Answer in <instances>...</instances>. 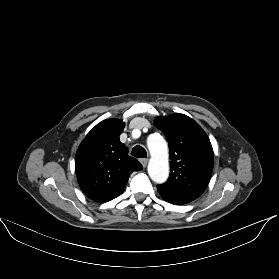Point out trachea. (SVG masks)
I'll use <instances>...</instances> for the list:
<instances>
[{"mask_svg":"<svg viewBox=\"0 0 279 279\" xmlns=\"http://www.w3.org/2000/svg\"><path fill=\"white\" fill-rule=\"evenodd\" d=\"M131 155L137 158H146L147 152L142 146L137 145L132 149Z\"/></svg>","mask_w":279,"mask_h":279,"instance_id":"3493384b","label":"trachea"}]
</instances>
